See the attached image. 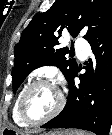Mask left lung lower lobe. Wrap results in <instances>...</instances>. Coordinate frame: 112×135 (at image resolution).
Wrapping results in <instances>:
<instances>
[{
	"label": "left lung lower lobe",
	"mask_w": 112,
	"mask_h": 135,
	"mask_svg": "<svg viewBox=\"0 0 112 135\" xmlns=\"http://www.w3.org/2000/svg\"><path fill=\"white\" fill-rule=\"evenodd\" d=\"M99 41V43H98ZM96 57L80 75L78 69L68 80L69 95L63 111L42 128H77L108 135L112 124V21L98 39L89 43ZM99 47V45H101Z\"/></svg>",
	"instance_id": "1"
}]
</instances>
